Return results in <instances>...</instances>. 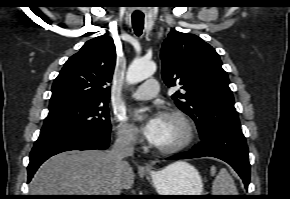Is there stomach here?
<instances>
[{
    "label": "stomach",
    "mask_w": 290,
    "mask_h": 199,
    "mask_svg": "<svg viewBox=\"0 0 290 199\" xmlns=\"http://www.w3.org/2000/svg\"><path fill=\"white\" fill-rule=\"evenodd\" d=\"M147 178L151 180L159 195H202V178L199 172L186 162H176V165H169L159 171H147Z\"/></svg>",
    "instance_id": "0dacf381"
}]
</instances>
